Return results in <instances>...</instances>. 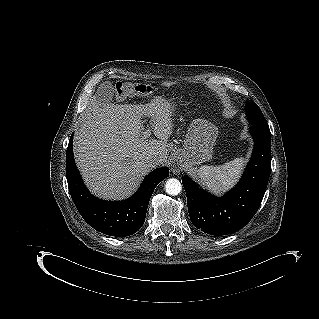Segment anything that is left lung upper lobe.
Listing matches in <instances>:
<instances>
[{
    "mask_svg": "<svg viewBox=\"0 0 319 319\" xmlns=\"http://www.w3.org/2000/svg\"><path fill=\"white\" fill-rule=\"evenodd\" d=\"M246 114L252 125L269 127L263 113L255 102H247Z\"/></svg>",
    "mask_w": 319,
    "mask_h": 319,
    "instance_id": "left-lung-upper-lobe-1",
    "label": "left lung upper lobe"
}]
</instances>
